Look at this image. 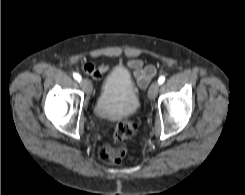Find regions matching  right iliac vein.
Masks as SVG:
<instances>
[{
    "mask_svg": "<svg viewBox=\"0 0 245 195\" xmlns=\"http://www.w3.org/2000/svg\"><path fill=\"white\" fill-rule=\"evenodd\" d=\"M81 86L84 88L87 95H91L92 84L87 79L82 80Z\"/></svg>",
    "mask_w": 245,
    "mask_h": 195,
    "instance_id": "right-iliac-vein-1",
    "label": "right iliac vein"
}]
</instances>
